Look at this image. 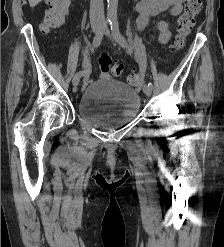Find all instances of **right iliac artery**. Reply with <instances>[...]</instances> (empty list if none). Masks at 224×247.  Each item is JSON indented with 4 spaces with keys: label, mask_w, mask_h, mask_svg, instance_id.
Returning a JSON list of instances; mask_svg holds the SVG:
<instances>
[{
    "label": "right iliac artery",
    "mask_w": 224,
    "mask_h": 247,
    "mask_svg": "<svg viewBox=\"0 0 224 247\" xmlns=\"http://www.w3.org/2000/svg\"><path fill=\"white\" fill-rule=\"evenodd\" d=\"M108 23H110V20H106L103 27L101 28V30L98 33H96V35L93 39V48H97L100 45L102 38H103L104 31H105ZM88 73H89V70H87V69L78 72V74L81 77L86 76Z\"/></svg>",
    "instance_id": "1"
}]
</instances>
